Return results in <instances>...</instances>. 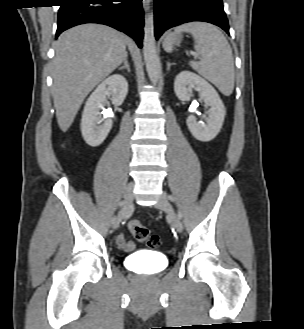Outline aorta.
Here are the masks:
<instances>
[{
    "mask_svg": "<svg viewBox=\"0 0 304 329\" xmlns=\"http://www.w3.org/2000/svg\"><path fill=\"white\" fill-rule=\"evenodd\" d=\"M143 55L149 79L153 84H156L159 79L160 66L156 52L154 17L152 12L145 15Z\"/></svg>",
    "mask_w": 304,
    "mask_h": 329,
    "instance_id": "762f6f07",
    "label": "aorta"
}]
</instances>
